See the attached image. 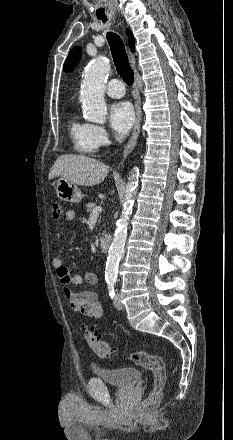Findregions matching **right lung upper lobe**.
<instances>
[{"label":"right lung upper lobe","instance_id":"obj_1","mask_svg":"<svg viewBox=\"0 0 233 440\" xmlns=\"http://www.w3.org/2000/svg\"><path fill=\"white\" fill-rule=\"evenodd\" d=\"M127 35H128L130 49L131 51H134V37L129 30H127ZM80 58H81V48L75 47L74 49H72L67 59L65 60L63 66L64 71L65 72L73 71L76 65L79 63Z\"/></svg>","mask_w":233,"mask_h":440}]
</instances>
